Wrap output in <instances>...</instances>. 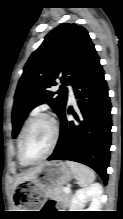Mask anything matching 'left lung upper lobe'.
<instances>
[{
    "label": "left lung upper lobe",
    "instance_id": "5c2ea615",
    "mask_svg": "<svg viewBox=\"0 0 123 219\" xmlns=\"http://www.w3.org/2000/svg\"><path fill=\"white\" fill-rule=\"evenodd\" d=\"M95 56L94 44L82 26L64 23L53 29L32 53L19 80L12 111L13 138L28 113L47 103L60 116L67 102L66 85L73 84L84 66ZM60 77L58 92L50 90Z\"/></svg>",
    "mask_w": 123,
    "mask_h": 219
}]
</instances>
